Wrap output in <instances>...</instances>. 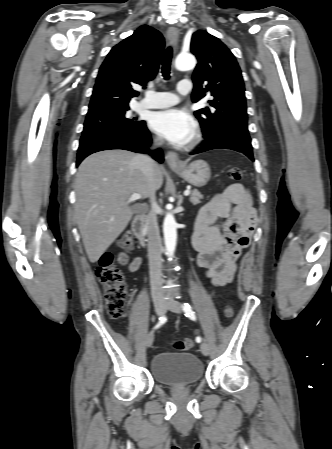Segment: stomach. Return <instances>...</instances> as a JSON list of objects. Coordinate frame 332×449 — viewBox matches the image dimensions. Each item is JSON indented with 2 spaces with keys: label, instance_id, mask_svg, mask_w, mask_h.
Listing matches in <instances>:
<instances>
[{
  "label": "stomach",
  "instance_id": "obj_1",
  "mask_svg": "<svg viewBox=\"0 0 332 449\" xmlns=\"http://www.w3.org/2000/svg\"><path fill=\"white\" fill-rule=\"evenodd\" d=\"M173 171L196 187L205 186L211 177L209 165L203 160L193 161L180 169H173Z\"/></svg>",
  "mask_w": 332,
  "mask_h": 449
}]
</instances>
